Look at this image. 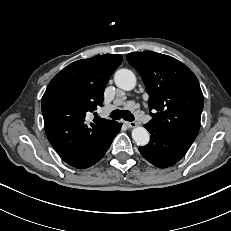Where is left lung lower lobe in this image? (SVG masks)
<instances>
[{
	"label": "left lung lower lobe",
	"mask_w": 231,
	"mask_h": 231,
	"mask_svg": "<svg viewBox=\"0 0 231 231\" xmlns=\"http://www.w3.org/2000/svg\"><path fill=\"white\" fill-rule=\"evenodd\" d=\"M150 132V142L146 146L139 147L143 157L153 165L166 168L177 163L190 148L189 145L176 140L150 125H144Z\"/></svg>",
	"instance_id": "0a47b994"
}]
</instances>
